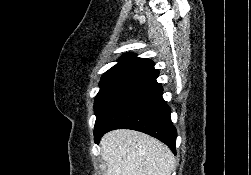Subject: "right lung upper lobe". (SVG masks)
Returning a JSON list of instances; mask_svg holds the SVG:
<instances>
[{
    "mask_svg": "<svg viewBox=\"0 0 251 175\" xmlns=\"http://www.w3.org/2000/svg\"><path fill=\"white\" fill-rule=\"evenodd\" d=\"M159 76L158 70L154 69V62L150 59L139 58L134 53L122 55L118 63L106 71L102 79L114 77H132L137 81H145Z\"/></svg>",
    "mask_w": 251,
    "mask_h": 175,
    "instance_id": "right-lung-upper-lobe-1",
    "label": "right lung upper lobe"
}]
</instances>
